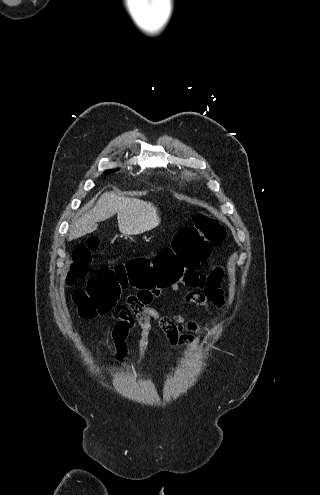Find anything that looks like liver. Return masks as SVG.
Instances as JSON below:
<instances>
[{"mask_svg":"<svg viewBox=\"0 0 320 495\" xmlns=\"http://www.w3.org/2000/svg\"><path fill=\"white\" fill-rule=\"evenodd\" d=\"M116 213L119 231L123 235H138L160 223L157 208L153 203L105 192L92 209L80 212L72 221L69 240L93 233L98 228V222L107 220Z\"/></svg>","mask_w":320,"mask_h":495,"instance_id":"liver-1","label":"liver"}]
</instances>
